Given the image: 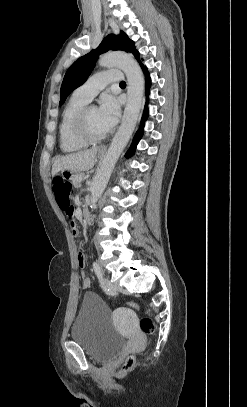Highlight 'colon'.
<instances>
[{
    "label": "colon",
    "mask_w": 247,
    "mask_h": 407,
    "mask_svg": "<svg viewBox=\"0 0 247 407\" xmlns=\"http://www.w3.org/2000/svg\"><path fill=\"white\" fill-rule=\"evenodd\" d=\"M52 188L59 208L62 211H66L71 205L70 197L73 191L72 184L61 177H55L52 182ZM128 305L133 309L138 308L136 302H128ZM140 327L141 330L147 334H151L155 329L154 322L149 317L141 320ZM135 361L134 356L128 357L123 363L119 373L123 374L132 369L135 365Z\"/></svg>",
    "instance_id": "obj_1"
}]
</instances>
